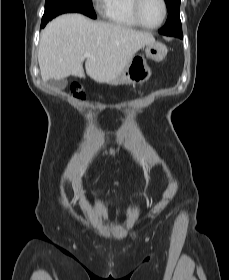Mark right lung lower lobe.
<instances>
[{
  "mask_svg": "<svg viewBox=\"0 0 229 280\" xmlns=\"http://www.w3.org/2000/svg\"><path fill=\"white\" fill-rule=\"evenodd\" d=\"M47 23H48V21L42 20L41 28H44Z\"/></svg>",
  "mask_w": 229,
  "mask_h": 280,
  "instance_id": "obj_1",
  "label": "right lung lower lobe"
}]
</instances>
